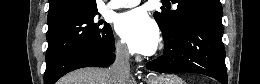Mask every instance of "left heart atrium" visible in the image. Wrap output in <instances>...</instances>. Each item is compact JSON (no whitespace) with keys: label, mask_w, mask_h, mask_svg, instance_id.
<instances>
[{"label":"left heart atrium","mask_w":260,"mask_h":84,"mask_svg":"<svg viewBox=\"0 0 260 84\" xmlns=\"http://www.w3.org/2000/svg\"><path fill=\"white\" fill-rule=\"evenodd\" d=\"M116 30L129 49L136 53L152 54L159 44V29L143 8L120 14Z\"/></svg>","instance_id":"39dd6f15"}]
</instances>
